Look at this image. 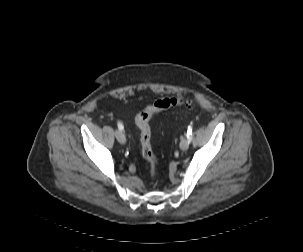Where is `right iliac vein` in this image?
Wrapping results in <instances>:
<instances>
[{"instance_id": "right-iliac-vein-1", "label": "right iliac vein", "mask_w": 303, "mask_h": 252, "mask_svg": "<svg viewBox=\"0 0 303 252\" xmlns=\"http://www.w3.org/2000/svg\"><path fill=\"white\" fill-rule=\"evenodd\" d=\"M115 136L118 140V142H120L121 144H125L126 143V138H125V135L122 131L120 130H116L115 131Z\"/></svg>"}]
</instances>
